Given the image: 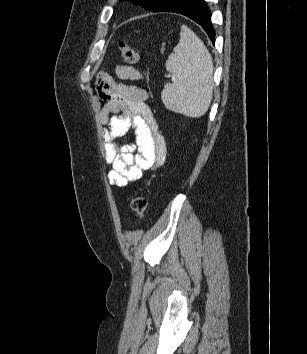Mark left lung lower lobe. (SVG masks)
Wrapping results in <instances>:
<instances>
[{
  "label": "left lung lower lobe",
  "instance_id": "1",
  "mask_svg": "<svg viewBox=\"0 0 307 354\" xmlns=\"http://www.w3.org/2000/svg\"><path fill=\"white\" fill-rule=\"evenodd\" d=\"M156 12H175L182 14L198 23L215 43V30L211 22V11L205 0H169Z\"/></svg>",
  "mask_w": 307,
  "mask_h": 354
}]
</instances>
